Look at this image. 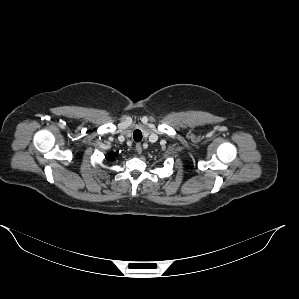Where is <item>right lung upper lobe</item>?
<instances>
[{
	"label": "right lung upper lobe",
	"instance_id": "1",
	"mask_svg": "<svg viewBox=\"0 0 299 299\" xmlns=\"http://www.w3.org/2000/svg\"><path fill=\"white\" fill-rule=\"evenodd\" d=\"M114 156H116V153H111L110 155H109V159H113L114 158Z\"/></svg>",
	"mask_w": 299,
	"mask_h": 299
}]
</instances>
